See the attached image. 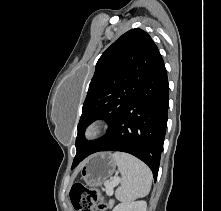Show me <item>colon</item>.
<instances>
[{
  "mask_svg": "<svg viewBox=\"0 0 221 211\" xmlns=\"http://www.w3.org/2000/svg\"><path fill=\"white\" fill-rule=\"evenodd\" d=\"M98 192L89 190L81 183L72 185L69 197L73 208L76 211H105L106 204L98 201Z\"/></svg>",
  "mask_w": 221,
  "mask_h": 211,
  "instance_id": "obj_1",
  "label": "colon"
}]
</instances>
